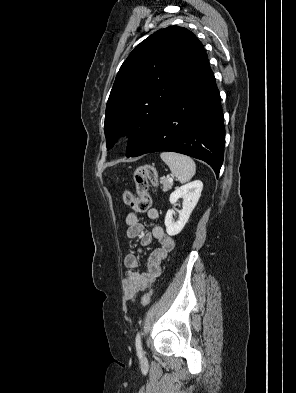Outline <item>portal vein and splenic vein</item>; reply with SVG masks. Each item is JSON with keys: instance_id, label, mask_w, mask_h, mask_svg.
I'll use <instances>...</instances> for the list:
<instances>
[{"instance_id": "1", "label": "portal vein and splenic vein", "mask_w": 296, "mask_h": 393, "mask_svg": "<svg viewBox=\"0 0 296 393\" xmlns=\"http://www.w3.org/2000/svg\"><path fill=\"white\" fill-rule=\"evenodd\" d=\"M168 181H169V182H173V178H169Z\"/></svg>"}]
</instances>
